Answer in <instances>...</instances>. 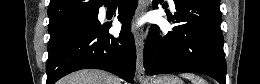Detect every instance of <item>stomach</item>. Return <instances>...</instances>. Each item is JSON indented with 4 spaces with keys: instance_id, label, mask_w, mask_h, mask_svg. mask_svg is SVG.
I'll return each mask as SVG.
<instances>
[{
    "instance_id": "1",
    "label": "stomach",
    "mask_w": 260,
    "mask_h": 84,
    "mask_svg": "<svg viewBox=\"0 0 260 84\" xmlns=\"http://www.w3.org/2000/svg\"><path fill=\"white\" fill-rule=\"evenodd\" d=\"M150 84H183V81L176 75H162L153 79Z\"/></svg>"
}]
</instances>
